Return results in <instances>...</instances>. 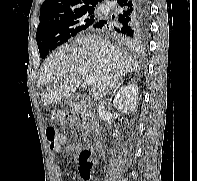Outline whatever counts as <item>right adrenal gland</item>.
Returning <instances> with one entry per match:
<instances>
[{
    "label": "right adrenal gland",
    "mask_w": 197,
    "mask_h": 181,
    "mask_svg": "<svg viewBox=\"0 0 197 181\" xmlns=\"http://www.w3.org/2000/svg\"><path fill=\"white\" fill-rule=\"evenodd\" d=\"M121 84H122V82H119V83L117 84V86H114L115 89H114V92H113L112 97H114V95H115L117 89L121 86ZM109 106H111V101H110V103H109Z\"/></svg>",
    "instance_id": "2a0ac1e0"
}]
</instances>
